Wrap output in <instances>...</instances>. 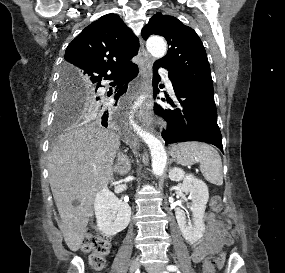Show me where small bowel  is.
Here are the masks:
<instances>
[{
    "label": "small bowel",
    "instance_id": "obj_1",
    "mask_svg": "<svg viewBox=\"0 0 285 273\" xmlns=\"http://www.w3.org/2000/svg\"><path fill=\"white\" fill-rule=\"evenodd\" d=\"M206 222L205 237L194 247L192 259L198 262L209 252H220L218 258V266L220 267L225 261V253L222 249L230 246L233 242L228 234L229 223L217 220L213 213L207 215Z\"/></svg>",
    "mask_w": 285,
    "mask_h": 273
}]
</instances>
